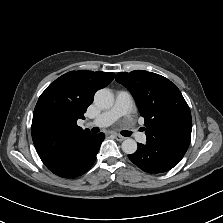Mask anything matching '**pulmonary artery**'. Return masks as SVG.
I'll return each instance as SVG.
<instances>
[{"mask_svg": "<svg viewBox=\"0 0 223 223\" xmlns=\"http://www.w3.org/2000/svg\"><path fill=\"white\" fill-rule=\"evenodd\" d=\"M133 100L129 92L119 90L115 93V102L113 106L99 114L88 122L89 126L95 127H108L112 125L120 117L127 115L130 112ZM134 138L140 145L145 146L148 144L149 139L144 132L139 131L134 133Z\"/></svg>", "mask_w": 223, "mask_h": 223, "instance_id": "e3ab8cb5", "label": "pulmonary artery"}]
</instances>
